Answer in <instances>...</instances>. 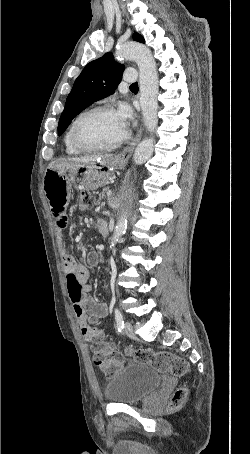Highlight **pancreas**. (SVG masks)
Returning a JSON list of instances; mask_svg holds the SVG:
<instances>
[{"instance_id":"cf45deb5","label":"pancreas","mask_w":250,"mask_h":454,"mask_svg":"<svg viewBox=\"0 0 250 454\" xmlns=\"http://www.w3.org/2000/svg\"><path fill=\"white\" fill-rule=\"evenodd\" d=\"M107 190H108L107 188L103 189L102 193L99 195L100 199H102L105 196V191Z\"/></svg>"}]
</instances>
